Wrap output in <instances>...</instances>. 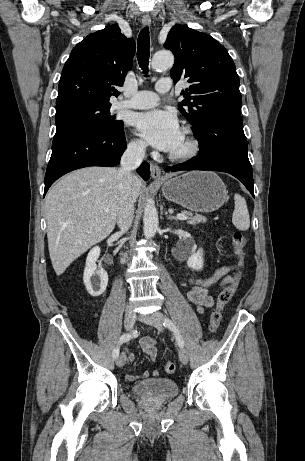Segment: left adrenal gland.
<instances>
[{
	"label": "left adrenal gland",
	"mask_w": 305,
	"mask_h": 461,
	"mask_svg": "<svg viewBox=\"0 0 305 461\" xmlns=\"http://www.w3.org/2000/svg\"><path fill=\"white\" fill-rule=\"evenodd\" d=\"M165 214L167 215V212H166ZM167 218H168L169 220L177 221V218L174 217V216H172V215L167 216Z\"/></svg>",
	"instance_id": "a2214340"
}]
</instances>
